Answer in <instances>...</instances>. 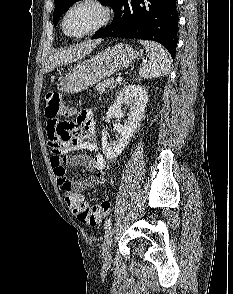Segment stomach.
<instances>
[{
    "label": "stomach",
    "instance_id": "0dacf381",
    "mask_svg": "<svg viewBox=\"0 0 233 294\" xmlns=\"http://www.w3.org/2000/svg\"><path fill=\"white\" fill-rule=\"evenodd\" d=\"M137 51L130 45L119 43L97 55L78 63L60 79V90L79 93L113 73L130 66Z\"/></svg>",
    "mask_w": 233,
    "mask_h": 294
}]
</instances>
